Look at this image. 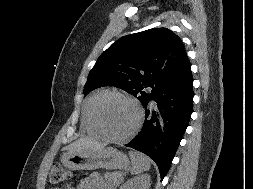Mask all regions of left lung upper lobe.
<instances>
[{
  "label": "left lung upper lobe",
  "mask_w": 253,
  "mask_h": 189,
  "mask_svg": "<svg viewBox=\"0 0 253 189\" xmlns=\"http://www.w3.org/2000/svg\"><path fill=\"white\" fill-rule=\"evenodd\" d=\"M186 58L181 39L167 28L124 36L98 58L84 94L101 86H115L145 105L179 71ZM148 87L152 88L150 93L143 91Z\"/></svg>",
  "instance_id": "1"
}]
</instances>
